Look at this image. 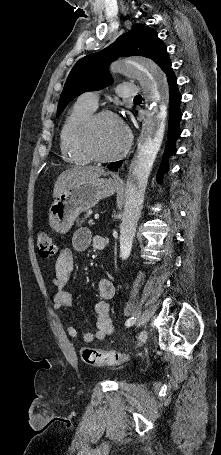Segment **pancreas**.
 Wrapping results in <instances>:
<instances>
[{"mask_svg":"<svg viewBox=\"0 0 221 455\" xmlns=\"http://www.w3.org/2000/svg\"><path fill=\"white\" fill-rule=\"evenodd\" d=\"M91 213H86L81 219L80 221L77 222V226H80L81 224L85 223L86 220H88V218L90 217ZM88 223L91 225L93 224V220L92 219H89L88 220Z\"/></svg>","mask_w":221,"mask_h":455,"instance_id":"obj_1","label":"pancreas"}]
</instances>
